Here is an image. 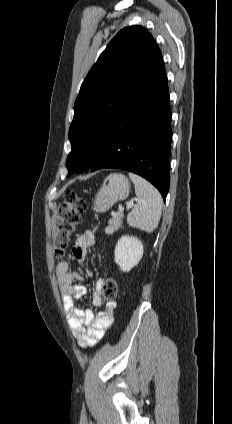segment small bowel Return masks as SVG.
I'll return each mask as SVG.
<instances>
[{
    "label": "small bowel",
    "instance_id": "small-bowel-1",
    "mask_svg": "<svg viewBox=\"0 0 232 424\" xmlns=\"http://www.w3.org/2000/svg\"><path fill=\"white\" fill-rule=\"evenodd\" d=\"M91 233L80 235L72 249L73 257L78 262H84L88 250L94 245ZM91 276V273H88ZM82 275L70 269L68 262L61 261L56 266V280L60 290L63 310L66 314L68 325L77 340L80 348L95 346L104 336L105 332L113 325V308L115 303H108L106 308L94 313L77 305V301L87 294V287L76 283ZM103 279L96 280L91 302L94 306L103 305L100 295Z\"/></svg>",
    "mask_w": 232,
    "mask_h": 424
}]
</instances>
